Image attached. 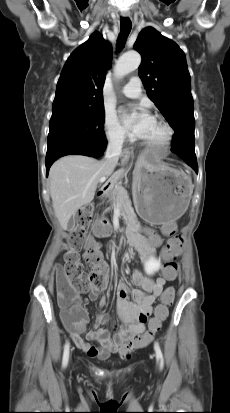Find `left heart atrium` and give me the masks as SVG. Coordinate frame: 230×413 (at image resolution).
<instances>
[{"mask_svg": "<svg viewBox=\"0 0 230 413\" xmlns=\"http://www.w3.org/2000/svg\"><path fill=\"white\" fill-rule=\"evenodd\" d=\"M123 122L135 136L142 138L152 125L153 118L144 105H135L123 115Z\"/></svg>", "mask_w": 230, "mask_h": 413, "instance_id": "39dd6f15", "label": "left heart atrium"}]
</instances>
